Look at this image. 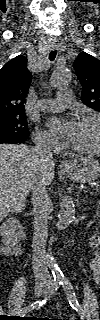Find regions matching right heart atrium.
<instances>
[{
	"instance_id": "obj_1",
	"label": "right heart atrium",
	"mask_w": 100,
	"mask_h": 320,
	"mask_svg": "<svg viewBox=\"0 0 100 320\" xmlns=\"http://www.w3.org/2000/svg\"><path fill=\"white\" fill-rule=\"evenodd\" d=\"M34 140L37 145L43 147H49L53 149H59L61 144L47 131L37 129L34 133Z\"/></svg>"
}]
</instances>
